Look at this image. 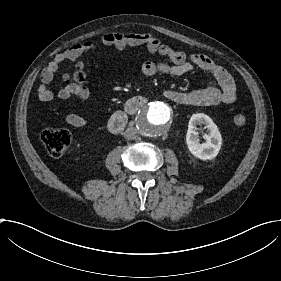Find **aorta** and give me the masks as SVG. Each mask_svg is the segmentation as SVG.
Segmentation results:
<instances>
[{"label":"aorta","instance_id":"1","mask_svg":"<svg viewBox=\"0 0 281 281\" xmlns=\"http://www.w3.org/2000/svg\"><path fill=\"white\" fill-rule=\"evenodd\" d=\"M170 120L171 110L169 106L159 101L143 107L137 115L142 134L151 137L160 136L167 131Z\"/></svg>","mask_w":281,"mask_h":281}]
</instances>
